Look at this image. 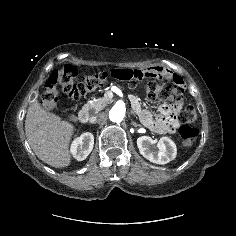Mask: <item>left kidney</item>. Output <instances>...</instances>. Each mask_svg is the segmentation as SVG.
I'll return each instance as SVG.
<instances>
[{"label": "left kidney", "mask_w": 236, "mask_h": 236, "mask_svg": "<svg viewBox=\"0 0 236 236\" xmlns=\"http://www.w3.org/2000/svg\"><path fill=\"white\" fill-rule=\"evenodd\" d=\"M154 143L155 141L149 136H141L137 139L138 149L144 158L162 165L176 158V144L170 138L162 137L157 143L158 150L154 148Z\"/></svg>", "instance_id": "1"}]
</instances>
